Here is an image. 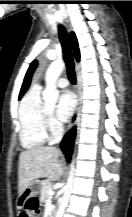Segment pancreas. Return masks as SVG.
Instances as JSON below:
<instances>
[{"mask_svg":"<svg viewBox=\"0 0 132 217\" xmlns=\"http://www.w3.org/2000/svg\"><path fill=\"white\" fill-rule=\"evenodd\" d=\"M52 190V182L47 179V180H43L41 182V196H40V200L41 202H46L47 199L49 198V191Z\"/></svg>","mask_w":132,"mask_h":217,"instance_id":"1","label":"pancreas"}]
</instances>
